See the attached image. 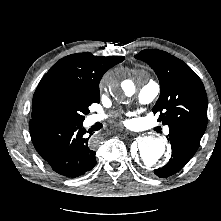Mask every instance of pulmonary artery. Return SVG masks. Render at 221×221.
Listing matches in <instances>:
<instances>
[{
  "label": "pulmonary artery",
  "mask_w": 221,
  "mask_h": 221,
  "mask_svg": "<svg viewBox=\"0 0 221 221\" xmlns=\"http://www.w3.org/2000/svg\"><path fill=\"white\" fill-rule=\"evenodd\" d=\"M160 86L157 82L150 80L140 90L139 100L142 104H148L153 101L159 94ZM103 117L100 115H92L90 121L92 123L102 120ZM165 134L169 133V128H165Z\"/></svg>",
  "instance_id": "pulmonary-artery-1"
}]
</instances>
